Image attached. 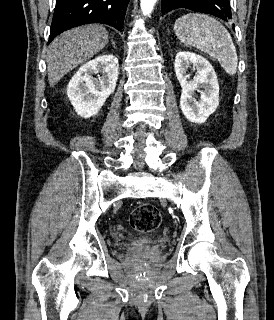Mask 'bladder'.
I'll return each instance as SVG.
<instances>
[{
	"label": "bladder",
	"instance_id": "obj_1",
	"mask_svg": "<svg viewBox=\"0 0 274 320\" xmlns=\"http://www.w3.org/2000/svg\"><path fill=\"white\" fill-rule=\"evenodd\" d=\"M138 243H143V240H138Z\"/></svg>",
	"mask_w": 274,
	"mask_h": 320
}]
</instances>
